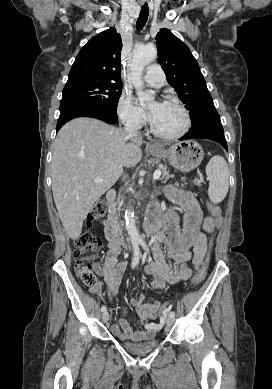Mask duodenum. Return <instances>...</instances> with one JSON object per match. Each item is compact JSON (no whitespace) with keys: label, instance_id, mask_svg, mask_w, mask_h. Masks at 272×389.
<instances>
[{"label":"duodenum","instance_id":"1","mask_svg":"<svg viewBox=\"0 0 272 389\" xmlns=\"http://www.w3.org/2000/svg\"><path fill=\"white\" fill-rule=\"evenodd\" d=\"M117 197V192L114 189L108 190L106 193V201L111 209V214L105 223V236L109 242L121 244L120 226L114 212V204ZM159 227V215L155 211H149L146 219V232L153 235Z\"/></svg>","mask_w":272,"mask_h":389}]
</instances>
